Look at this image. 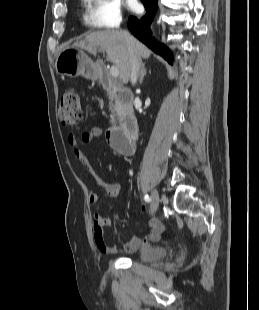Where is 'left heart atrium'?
Returning <instances> with one entry per match:
<instances>
[{"mask_svg": "<svg viewBox=\"0 0 259 310\" xmlns=\"http://www.w3.org/2000/svg\"><path fill=\"white\" fill-rule=\"evenodd\" d=\"M126 4L130 10H136L138 8L136 0H126Z\"/></svg>", "mask_w": 259, "mask_h": 310, "instance_id": "left-heart-atrium-1", "label": "left heart atrium"}]
</instances>
